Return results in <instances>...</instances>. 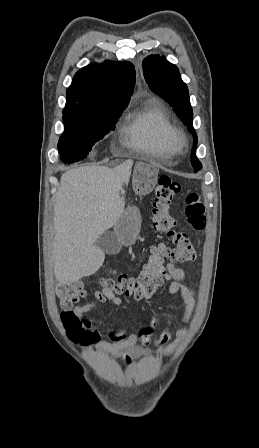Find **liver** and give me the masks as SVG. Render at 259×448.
I'll list each match as a JSON object with an SVG mask.
<instances>
[{"mask_svg": "<svg viewBox=\"0 0 259 448\" xmlns=\"http://www.w3.org/2000/svg\"><path fill=\"white\" fill-rule=\"evenodd\" d=\"M133 160L113 170L106 166L73 168L62 174L54 204V274L60 284H74L101 268L105 256L94 246L124 214L120 198Z\"/></svg>", "mask_w": 259, "mask_h": 448, "instance_id": "6515ba94", "label": "liver"}]
</instances>
